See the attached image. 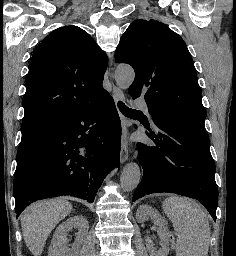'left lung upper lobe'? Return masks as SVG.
Wrapping results in <instances>:
<instances>
[{"label":"left lung upper lobe","instance_id":"1","mask_svg":"<svg viewBox=\"0 0 236 256\" xmlns=\"http://www.w3.org/2000/svg\"><path fill=\"white\" fill-rule=\"evenodd\" d=\"M115 60L134 68L129 94L133 99L144 94L152 116L206 131L196 69L178 34L155 20H135L121 37Z\"/></svg>","mask_w":236,"mask_h":256}]
</instances>
